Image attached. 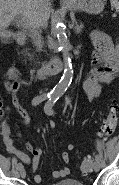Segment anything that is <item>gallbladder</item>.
<instances>
[{
  "mask_svg": "<svg viewBox=\"0 0 119 185\" xmlns=\"http://www.w3.org/2000/svg\"><path fill=\"white\" fill-rule=\"evenodd\" d=\"M12 32L7 29L0 30V38L4 43H8L11 38Z\"/></svg>",
  "mask_w": 119,
  "mask_h": 185,
  "instance_id": "1",
  "label": "gallbladder"
}]
</instances>
